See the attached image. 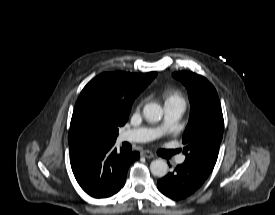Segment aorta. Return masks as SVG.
I'll return each mask as SVG.
<instances>
[{
  "label": "aorta",
  "mask_w": 275,
  "mask_h": 215,
  "mask_svg": "<svg viewBox=\"0 0 275 215\" xmlns=\"http://www.w3.org/2000/svg\"><path fill=\"white\" fill-rule=\"evenodd\" d=\"M143 115L149 122H158L163 116V109L157 103H148L143 108ZM150 171L154 176L164 177L168 173V164L163 159L151 162Z\"/></svg>",
  "instance_id": "obj_1"
}]
</instances>
